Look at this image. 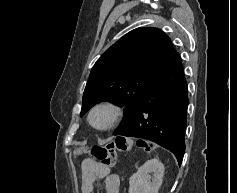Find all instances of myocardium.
Returning a JSON list of instances; mask_svg holds the SVG:
<instances>
[{
    "instance_id": "myocardium-1",
    "label": "myocardium",
    "mask_w": 237,
    "mask_h": 193,
    "mask_svg": "<svg viewBox=\"0 0 237 193\" xmlns=\"http://www.w3.org/2000/svg\"><path fill=\"white\" fill-rule=\"evenodd\" d=\"M105 111L108 113L109 117L107 122L104 125H97L94 123V115L97 112ZM122 119V110L121 108L110 101H102L94 105L88 114V122L92 128L97 131L105 132L113 129L116 127Z\"/></svg>"
}]
</instances>
